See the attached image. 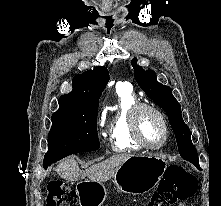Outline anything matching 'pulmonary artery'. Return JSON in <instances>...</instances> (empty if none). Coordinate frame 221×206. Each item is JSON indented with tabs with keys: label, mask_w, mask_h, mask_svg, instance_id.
Masks as SVG:
<instances>
[{
	"label": "pulmonary artery",
	"mask_w": 221,
	"mask_h": 206,
	"mask_svg": "<svg viewBox=\"0 0 221 206\" xmlns=\"http://www.w3.org/2000/svg\"><path fill=\"white\" fill-rule=\"evenodd\" d=\"M120 85H126V86H128V87H129V85H128L127 83H121Z\"/></svg>",
	"instance_id": "obj_1"
}]
</instances>
